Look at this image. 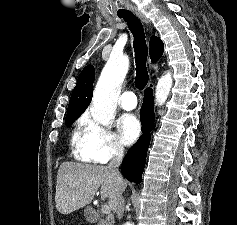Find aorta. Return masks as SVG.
<instances>
[{
  "instance_id": "1",
  "label": "aorta",
  "mask_w": 237,
  "mask_h": 225,
  "mask_svg": "<svg viewBox=\"0 0 237 225\" xmlns=\"http://www.w3.org/2000/svg\"><path fill=\"white\" fill-rule=\"evenodd\" d=\"M128 68L127 56L111 55L107 61L93 93L91 115L96 122L105 126L112 120L121 84ZM172 84L173 80L169 72L158 80L155 91L156 104L161 106L165 103ZM125 225L133 224L126 222Z\"/></svg>"
}]
</instances>
